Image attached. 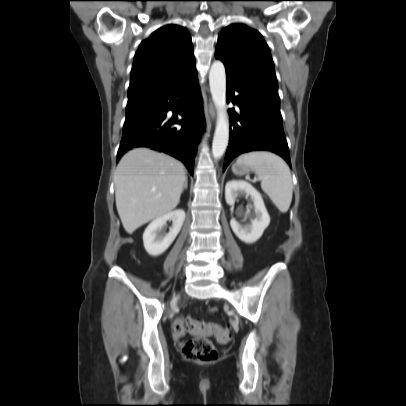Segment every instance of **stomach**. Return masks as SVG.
<instances>
[{
    "mask_svg": "<svg viewBox=\"0 0 406 406\" xmlns=\"http://www.w3.org/2000/svg\"><path fill=\"white\" fill-rule=\"evenodd\" d=\"M252 170H253L252 167H250V166H248V165H246V164H244V163H238V162H236V163L233 164V166H232V172H233L235 175H238V176L247 175V174H249Z\"/></svg>",
    "mask_w": 406,
    "mask_h": 406,
    "instance_id": "0dacf381",
    "label": "stomach"
}]
</instances>
